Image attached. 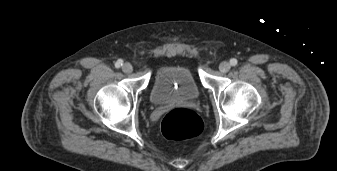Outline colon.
Segmentation results:
<instances>
[{
    "instance_id": "5ec220e1",
    "label": "colon",
    "mask_w": 337,
    "mask_h": 171,
    "mask_svg": "<svg viewBox=\"0 0 337 171\" xmlns=\"http://www.w3.org/2000/svg\"><path fill=\"white\" fill-rule=\"evenodd\" d=\"M163 135L171 140L196 137L203 131L200 116L186 108H176L165 115L161 123Z\"/></svg>"
}]
</instances>
